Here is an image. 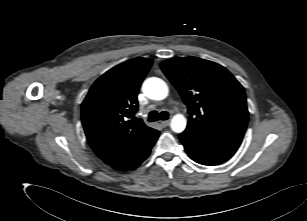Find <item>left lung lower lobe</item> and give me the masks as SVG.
I'll return each mask as SVG.
<instances>
[{
  "instance_id": "1",
  "label": "left lung lower lobe",
  "mask_w": 307,
  "mask_h": 221,
  "mask_svg": "<svg viewBox=\"0 0 307 221\" xmlns=\"http://www.w3.org/2000/svg\"><path fill=\"white\" fill-rule=\"evenodd\" d=\"M179 139L190 158L203 165L225 162L235 154L242 142L237 137L206 133L191 127H187Z\"/></svg>"
}]
</instances>
